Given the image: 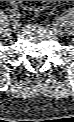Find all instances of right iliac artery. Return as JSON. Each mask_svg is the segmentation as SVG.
<instances>
[{
    "label": "right iliac artery",
    "instance_id": "right-iliac-artery-1",
    "mask_svg": "<svg viewBox=\"0 0 74 122\" xmlns=\"http://www.w3.org/2000/svg\"><path fill=\"white\" fill-rule=\"evenodd\" d=\"M10 14H11V17H15V10L14 9H11L10 10ZM17 23V22H16Z\"/></svg>",
    "mask_w": 74,
    "mask_h": 122
}]
</instances>
